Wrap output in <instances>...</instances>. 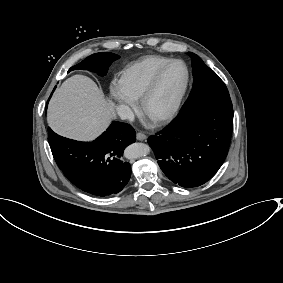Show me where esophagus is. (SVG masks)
<instances>
[{
	"label": "esophagus",
	"instance_id": "34e87169",
	"mask_svg": "<svg viewBox=\"0 0 283 283\" xmlns=\"http://www.w3.org/2000/svg\"><path fill=\"white\" fill-rule=\"evenodd\" d=\"M146 138H147V136H146L144 133H142V132H138V133H137V140L143 141V140H145Z\"/></svg>",
	"mask_w": 283,
	"mask_h": 283
}]
</instances>
